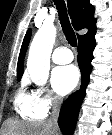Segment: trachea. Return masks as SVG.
Returning <instances> with one entry per match:
<instances>
[{"label": "trachea", "instance_id": "obj_1", "mask_svg": "<svg viewBox=\"0 0 112 135\" xmlns=\"http://www.w3.org/2000/svg\"><path fill=\"white\" fill-rule=\"evenodd\" d=\"M54 3L56 5L58 14H59V20L61 27L64 31L66 40L72 47L77 46V39L75 32L73 28L71 27L68 15H67V9L64 0H54Z\"/></svg>", "mask_w": 112, "mask_h": 135}]
</instances>
